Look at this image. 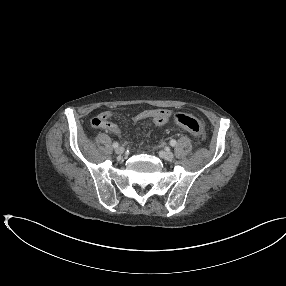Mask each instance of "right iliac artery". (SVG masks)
I'll return each instance as SVG.
<instances>
[{"mask_svg": "<svg viewBox=\"0 0 286 286\" xmlns=\"http://www.w3.org/2000/svg\"><path fill=\"white\" fill-rule=\"evenodd\" d=\"M118 146H119V144H118L117 142H114V143H113V147H114V148H117Z\"/></svg>", "mask_w": 286, "mask_h": 286, "instance_id": "obj_1", "label": "right iliac artery"}]
</instances>
